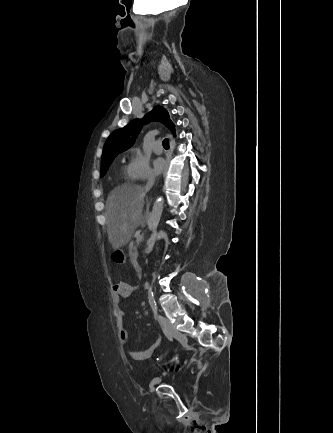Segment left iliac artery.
Instances as JSON below:
<instances>
[{
	"label": "left iliac artery",
	"instance_id": "44dca946",
	"mask_svg": "<svg viewBox=\"0 0 333 433\" xmlns=\"http://www.w3.org/2000/svg\"><path fill=\"white\" fill-rule=\"evenodd\" d=\"M149 302L151 304V307H152L153 311L156 313L157 312L156 302L154 300H152V299H150Z\"/></svg>",
	"mask_w": 333,
	"mask_h": 433
}]
</instances>
